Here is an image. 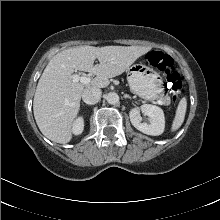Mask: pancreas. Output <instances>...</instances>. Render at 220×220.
<instances>
[{"instance_id": "cf45deb5", "label": "pancreas", "mask_w": 220, "mask_h": 220, "mask_svg": "<svg viewBox=\"0 0 220 220\" xmlns=\"http://www.w3.org/2000/svg\"><path fill=\"white\" fill-rule=\"evenodd\" d=\"M164 104H169L170 103V98L169 97H164L163 99Z\"/></svg>"}]
</instances>
